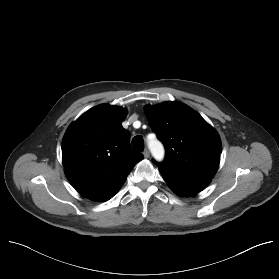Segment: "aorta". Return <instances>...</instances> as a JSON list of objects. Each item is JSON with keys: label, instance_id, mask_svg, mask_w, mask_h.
I'll return each instance as SVG.
<instances>
[{"label": "aorta", "instance_id": "762f6f07", "mask_svg": "<svg viewBox=\"0 0 279 279\" xmlns=\"http://www.w3.org/2000/svg\"><path fill=\"white\" fill-rule=\"evenodd\" d=\"M149 150L156 161H162L164 158V147L162 143L156 139L148 141Z\"/></svg>", "mask_w": 279, "mask_h": 279}]
</instances>
